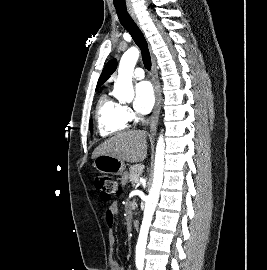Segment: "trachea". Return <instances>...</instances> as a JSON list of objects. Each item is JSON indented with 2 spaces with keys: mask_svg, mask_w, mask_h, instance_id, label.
<instances>
[{
  "mask_svg": "<svg viewBox=\"0 0 267 270\" xmlns=\"http://www.w3.org/2000/svg\"><path fill=\"white\" fill-rule=\"evenodd\" d=\"M116 12L122 26L130 33L134 42L140 48L142 53V60L147 70L151 69V58L148 50L147 42L142 34L141 30L129 15L126 7H117Z\"/></svg>",
  "mask_w": 267,
  "mask_h": 270,
  "instance_id": "1",
  "label": "trachea"
}]
</instances>
